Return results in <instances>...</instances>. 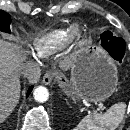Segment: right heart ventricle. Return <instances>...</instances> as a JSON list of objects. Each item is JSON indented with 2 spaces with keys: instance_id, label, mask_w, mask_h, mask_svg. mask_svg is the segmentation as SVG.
I'll use <instances>...</instances> for the list:
<instances>
[{
  "instance_id": "right-heart-ventricle-1",
  "label": "right heart ventricle",
  "mask_w": 130,
  "mask_h": 130,
  "mask_svg": "<svg viewBox=\"0 0 130 130\" xmlns=\"http://www.w3.org/2000/svg\"><path fill=\"white\" fill-rule=\"evenodd\" d=\"M70 32L71 28H65L38 37L32 44L33 55L44 58L54 53L70 41Z\"/></svg>"
}]
</instances>
